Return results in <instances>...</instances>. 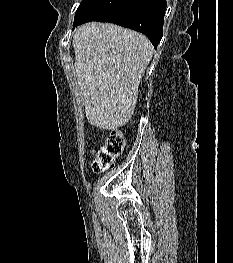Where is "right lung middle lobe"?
<instances>
[{
    "label": "right lung middle lobe",
    "instance_id": "obj_1",
    "mask_svg": "<svg viewBox=\"0 0 233 263\" xmlns=\"http://www.w3.org/2000/svg\"><path fill=\"white\" fill-rule=\"evenodd\" d=\"M125 0H82L78 7L74 23L101 21L109 18Z\"/></svg>",
    "mask_w": 233,
    "mask_h": 263
}]
</instances>
